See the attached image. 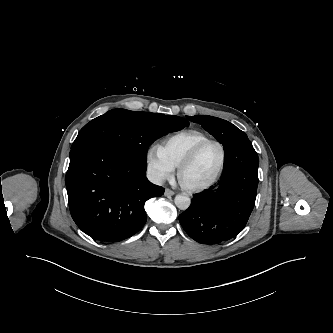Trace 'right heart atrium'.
I'll return each mask as SVG.
<instances>
[{
  "instance_id": "right-heart-atrium-1",
  "label": "right heart atrium",
  "mask_w": 333,
  "mask_h": 333,
  "mask_svg": "<svg viewBox=\"0 0 333 333\" xmlns=\"http://www.w3.org/2000/svg\"><path fill=\"white\" fill-rule=\"evenodd\" d=\"M146 166L150 176L158 183L172 178L175 167L163 156L159 147L152 146L146 152Z\"/></svg>"
}]
</instances>
